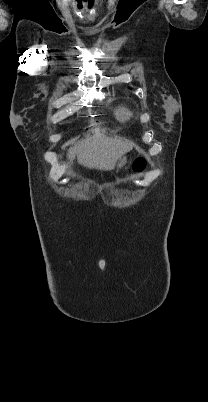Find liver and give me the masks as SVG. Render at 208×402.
I'll list each match as a JSON object with an SVG mask.
<instances>
[{
	"mask_svg": "<svg viewBox=\"0 0 208 402\" xmlns=\"http://www.w3.org/2000/svg\"><path fill=\"white\" fill-rule=\"evenodd\" d=\"M134 142L131 140H120V138H88L75 144L68 150L69 160L77 156L78 164L84 168H95V170H113L117 160L133 150Z\"/></svg>",
	"mask_w": 208,
	"mask_h": 402,
	"instance_id": "obj_1",
	"label": "liver"
}]
</instances>
